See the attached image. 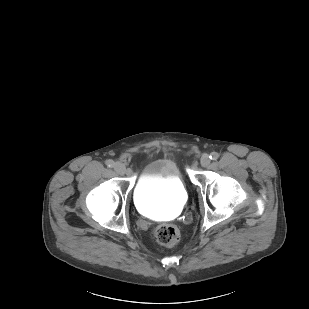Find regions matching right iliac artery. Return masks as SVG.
<instances>
[{"mask_svg": "<svg viewBox=\"0 0 309 309\" xmlns=\"http://www.w3.org/2000/svg\"><path fill=\"white\" fill-rule=\"evenodd\" d=\"M106 165L108 167H113L114 166V161L109 159V160L106 161Z\"/></svg>", "mask_w": 309, "mask_h": 309, "instance_id": "1", "label": "right iliac artery"}]
</instances>
